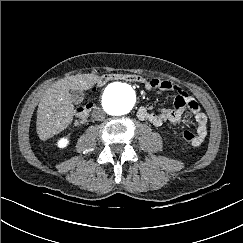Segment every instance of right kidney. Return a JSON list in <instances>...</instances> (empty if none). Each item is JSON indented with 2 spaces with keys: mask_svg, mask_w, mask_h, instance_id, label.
<instances>
[{
  "mask_svg": "<svg viewBox=\"0 0 243 243\" xmlns=\"http://www.w3.org/2000/svg\"><path fill=\"white\" fill-rule=\"evenodd\" d=\"M69 139L67 137H63V138H60L58 141H57V146L59 148H65L69 145Z\"/></svg>",
  "mask_w": 243,
  "mask_h": 243,
  "instance_id": "obj_1",
  "label": "right kidney"
}]
</instances>
